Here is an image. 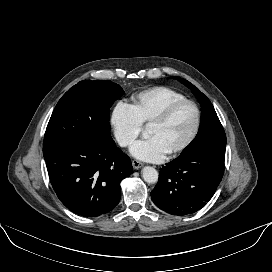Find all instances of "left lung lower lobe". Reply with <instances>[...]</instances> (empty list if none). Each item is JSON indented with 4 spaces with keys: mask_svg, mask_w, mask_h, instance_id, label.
<instances>
[{
    "mask_svg": "<svg viewBox=\"0 0 272 272\" xmlns=\"http://www.w3.org/2000/svg\"><path fill=\"white\" fill-rule=\"evenodd\" d=\"M223 174V159L198 153L180 155L162 166L151 198L172 215L193 214L212 198Z\"/></svg>",
    "mask_w": 272,
    "mask_h": 272,
    "instance_id": "0a47b994",
    "label": "left lung lower lobe"
}]
</instances>
